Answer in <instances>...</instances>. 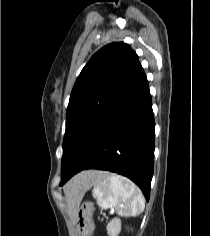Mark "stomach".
<instances>
[{"label": "stomach", "mask_w": 210, "mask_h": 236, "mask_svg": "<svg viewBox=\"0 0 210 236\" xmlns=\"http://www.w3.org/2000/svg\"><path fill=\"white\" fill-rule=\"evenodd\" d=\"M94 206L90 202H85L78 210L76 220V230L78 236H91L94 231L95 224L93 221Z\"/></svg>", "instance_id": "1"}]
</instances>
